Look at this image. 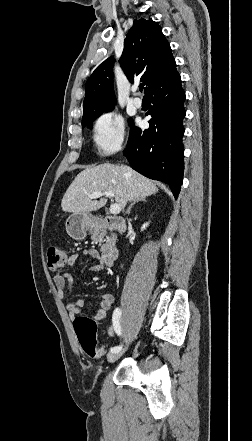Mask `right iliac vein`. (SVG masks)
Instances as JSON below:
<instances>
[{
	"mask_svg": "<svg viewBox=\"0 0 252 441\" xmlns=\"http://www.w3.org/2000/svg\"><path fill=\"white\" fill-rule=\"evenodd\" d=\"M122 354H123V352H117V353L111 352L108 354L107 360L109 363H114L122 356Z\"/></svg>",
	"mask_w": 252,
	"mask_h": 441,
	"instance_id": "obj_1",
	"label": "right iliac vein"
}]
</instances>
